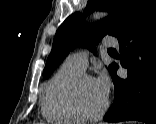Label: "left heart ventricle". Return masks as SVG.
<instances>
[{
	"label": "left heart ventricle",
	"mask_w": 156,
	"mask_h": 124,
	"mask_svg": "<svg viewBox=\"0 0 156 124\" xmlns=\"http://www.w3.org/2000/svg\"><path fill=\"white\" fill-rule=\"evenodd\" d=\"M106 98L96 86L94 80L87 79L82 82L79 93L78 101L80 108L87 114L96 113L101 109Z\"/></svg>",
	"instance_id": "b2bd125f"
}]
</instances>
